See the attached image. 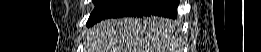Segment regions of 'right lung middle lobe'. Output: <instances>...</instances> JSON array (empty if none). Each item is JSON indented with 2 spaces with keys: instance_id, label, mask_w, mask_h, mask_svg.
Wrapping results in <instances>:
<instances>
[{
  "instance_id": "right-lung-middle-lobe-1",
  "label": "right lung middle lobe",
  "mask_w": 261,
  "mask_h": 52,
  "mask_svg": "<svg viewBox=\"0 0 261 52\" xmlns=\"http://www.w3.org/2000/svg\"><path fill=\"white\" fill-rule=\"evenodd\" d=\"M104 2H106V0H94L96 8L99 7L100 5H102Z\"/></svg>"
}]
</instances>
